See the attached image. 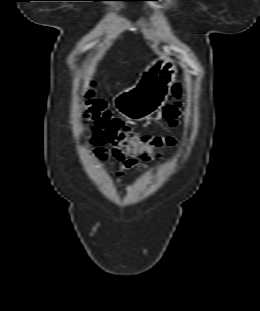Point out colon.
Segmentation results:
<instances>
[{
    "mask_svg": "<svg viewBox=\"0 0 260 311\" xmlns=\"http://www.w3.org/2000/svg\"><path fill=\"white\" fill-rule=\"evenodd\" d=\"M181 95L182 87L178 83L173 88L174 100L163 110V117L172 128L179 126L182 120ZM81 108L84 116L91 122L92 144L97 147L104 144L110 145L112 156L115 158L130 157L140 161H149L160 157L161 149L165 145L175 144L172 137L161 138L139 134L121 120L113 117L107 110L105 102L95 98L93 81H90L89 88L82 97ZM97 153L101 158L105 156L101 150Z\"/></svg>",
    "mask_w": 260,
    "mask_h": 311,
    "instance_id": "5ec220e1",
    "label": "colon"
}]
</instances>
